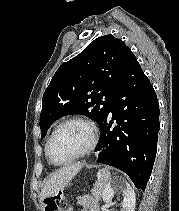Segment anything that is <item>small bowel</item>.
Instances as JSON below:
<instances>
[{"mask_svg":"<svg viewBox=\"0 0 179 211\" xmlns=\"http://www.w3.org/2000/svg\"><path fill=\"white\" fill-rule=\"evenodd\" d=\"M78 203L88 209V211H100V208H99V205L96 201H94L91 197L89 196H84V197H81L79 200H78ZM67 211H73L72 208H69Z\"/></svg>","mask_w":179,"mask_h":211,"instance_id":"1","label":"small bowel"}]
</instances>
